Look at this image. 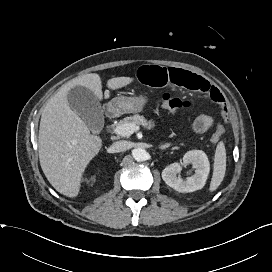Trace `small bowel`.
Returning <instances> with one entry per match:
<instances>
[{
	"instance_id": "1",
	"label": "small bowel",
	"mask_w": 272,
	"mask_h": 272,
	"mask_svg": "<svg viewBox=\"0 0 272 272\" xmlns=\"http://www.w3.org/2000/svg\"><path fill=\"white\" fill-rule=\"evenodd\" d=\"M137 79L146 86L162 87L175 86L207 94L214 102L223 104L222 93L203 77L178 68L144 65L137 70ZM213 125L209 115L197 116L191 128L195 133H204Z\"/></svg>"
}]
</instances>
